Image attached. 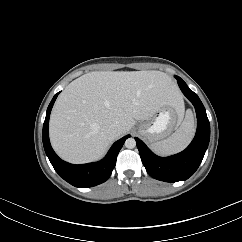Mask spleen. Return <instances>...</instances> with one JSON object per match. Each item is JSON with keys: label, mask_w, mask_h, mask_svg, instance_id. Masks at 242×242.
<instances>
[{"label": "spleen", "mask_w": 242, "mask_h": 242, "mask_svg": "<svg viewBox=\"0 0 242 242\" xmlns=\"http://www.w3.org/2000/svg\"><path fill=\"white\" fill-rule=\"evenodd\" d=\"M195 124L192 114H186L180 127L167 139L152 144V149L162 155L177 153L183 150L192 140Z\"/></svg>", "instance_id": "obj_1"}]
</instances>
